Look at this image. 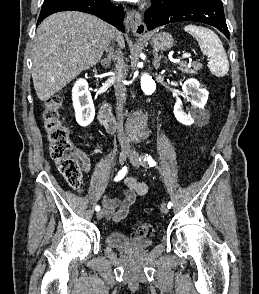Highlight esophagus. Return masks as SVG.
<instances>
[{
	"label": "esophagus",
	"instance_id": "34e87169",
	"mask_svg": "<svg viewBox=\"0 0 259 294\" xmlns=\"http://www.w3.org/2000/svg\"><path fill=\"white\" fill-rule=\"evenodd\" d=\"M127 24L136 36L142 37L145 35L146 26L143 22L142 15L134 10H128L127 12Z\"/></svg>",
	"mask_w": 259,
	"mask_h": 294
}]
</instances>
